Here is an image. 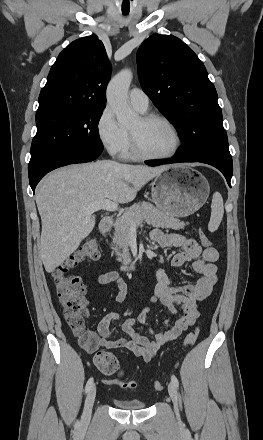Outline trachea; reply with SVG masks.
<instances>
[{
  "instance_id": "1",
  "label": "trachea",
  "mask_w": 263,
  "mask_h": 440,
  "mask_svg": "<svg viewBox=\"0 0 263 440\" xmlns=\"http://www.w3.org/2000/svg\"><path fill=\"white\" fill-rule=\"evenodd\" d=\"M129 13V11H123L124 15H127Z\"/></svg>"
}]
</instances>
